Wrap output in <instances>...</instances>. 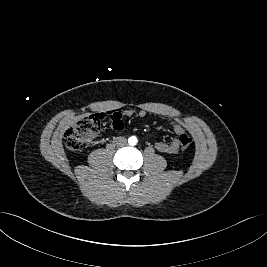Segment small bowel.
<instances>
[{
	"label": "small bowel",
	"mask_w": 267,
	"mask_h": 267,
	"mask_svg": "<svg viewBox=\"0 0 267 267\" xmlns=\"http://www.w3.org/2000/svg\"><path fill=\"white\" fill-rule=\"evenodd\" d=\"M134 113H135L134 110L128 109L123 112L120 110H113V111L108 112L107 114L111 116L113 129L116 131H122L124 129L122 115L131 117L134 115ZM147 114L148 112L146 110H140L138 112L139 117H145ZM103 115H106V114H103ZM173 129L175 133L178 135L181 133H185V127L181 123H176L173 126ZM180 146L181 144H180L179 139H173L170 142L159 141V142H156L155 144L156 149L159 152L165 153V154L177 153L180 149Z\"/></svg>",
	"instance_id": "small-bowel-1"
}]
</instances>
